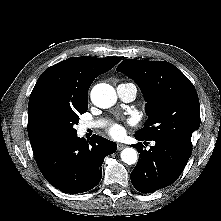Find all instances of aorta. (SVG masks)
<instances>
[{
  "instance_id": "762f6f07",
  "label": "aorta",
  "mask_w": 221,
  "mask_h": 221,
  "mask_svg": "<svg viewBox=\"0 0 221 221\" xmlns=\"http://www.w3.org/2000/svg\"><path fill=\"white\" fill-rule=\"evenodd\" d=\"M91 101L94 105L100 108H109L117 101L115 89L105 83L95 85L91 90ZM121 159L128 165L135 164L138 160V153L132 147H127L121 152Z\"/></svg>"
}]
</instances>
